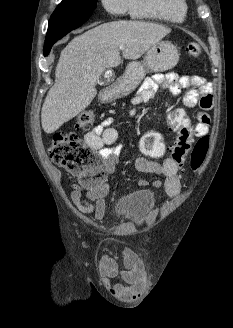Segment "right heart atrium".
Wrapping results in <instances>:
<instances>
[{
  "label": "right heart atrium",
  "instance_id": "obj_1",
  "mask_svg": "<svg viewBox=\"0 0 233 328\" xmlns=\"http://www.w3.org/2000/svg\"><path fill=\"white\" fill-rule=\"evenodd\" d=\"M106 10L112 14H121L126 10L127 0H102Z\"/></svg>",
  "mask_w": 233,
  "mask_h": 328
}]
</instances>
